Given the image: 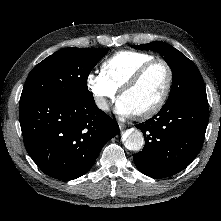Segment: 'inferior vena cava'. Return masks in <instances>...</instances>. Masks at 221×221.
<instances>
[{
	"label": "inferior vena cava",
	"instance_id": "1",
	"mask_svg": "<svg viewBox=\"0 0 221 221\" xmlns=\"http://www.w3.org/2000/svg\"><path fill=\"white\" fill-rule=\"evenodd\" d=\"M96 103L100 109H102V110L108 109V103L105 100H103L102 98H98L96 100Z\"/></svg>",
	"mask_w": 221,
	"mask_h": 221
}]
</instances>
